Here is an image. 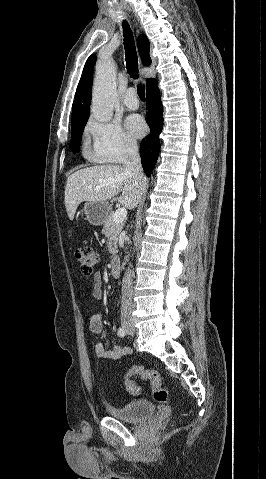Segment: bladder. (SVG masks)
<instances>
[{
	"instance_id": "31cf9c89",
	"label": "bladder",
	"mask_w": 266,
	"mask_h": 479,
	"mask_svg": "<svg viewBox=\"0 0 266 479\" xmlns=\"http://www.w3.org/2000/svg\"><path fill=\"white\" fill-rule=\"evenodd\" d=\"M110 416L127 423L139 422L155 414L156 407L149 400H137L124 403L120 406H108Z\"/></svg>"
}]
</instances>
